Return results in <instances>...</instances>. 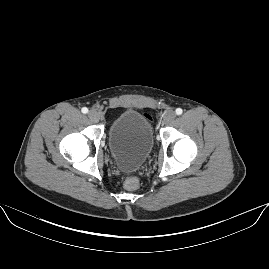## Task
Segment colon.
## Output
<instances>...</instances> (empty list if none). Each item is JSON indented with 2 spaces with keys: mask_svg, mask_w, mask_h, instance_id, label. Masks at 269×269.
Segmentation results:
<instances>
[{
  "mask_svg": "<svg viewBox=\"0 0 269 269\" xmlns=\"http://www.w3.org/2000/svg\"><path fill=\"white\" fill-rule=\"evenodd\" d=\"M144 117L148 121H152V117L150 115L145 114ZM123 185L127 190H136L141 186V179L138 176L125 175L123 178Z\"/></svg>",
  "mask_w": 269,
  "mask_h": 269,
  "instance_id": "colon-1",
  "label": "colon"
}]
</instances>
